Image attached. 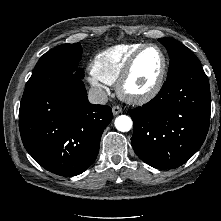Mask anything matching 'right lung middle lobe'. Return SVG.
Instances as JSON below:
<instances>
[{
	"mask_svg": "<svg viewBox=\"0 0 221 221\" xmlns=\"http://www.w3.org/2000/svg\"><path fill=\"white\" fill-rule=\"evenodd\" d=\"M81 56L80 43L60 45L45 53L39 59L31 77L62 78L75 75L82 79L84 71L82 68H78Z\"/></svg>",
	"mask_w": 221,
	"mask_h": 221,
	"instance_id": "obj_1",
	"label": "right lung middle lobe"
}]
</instances>
